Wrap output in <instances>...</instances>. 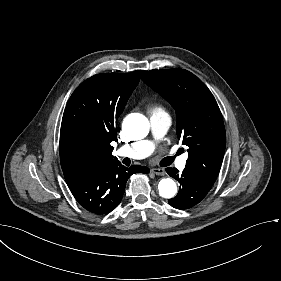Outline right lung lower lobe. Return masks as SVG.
<instances>
[{
	"label": "right lung lower lobe",
	"instance_id": "right-lung-lower-lobe-1",
	"mask_svg": "<svg viewBox=\"0 0 281 281\" xmlns=\"http://www.w3.org/2000/svg\"><path fill=\"white\" fill-rule=\"evenodd\" d=\"M136 172L148 173L149 169L144 166L126 168L118 161L63 170L73 196L81 206L95 214L109 213L119 205L128 178Z\"/></svg>",
	"mask_w": 281,
	"mask_h": 281
}]
</instances>
